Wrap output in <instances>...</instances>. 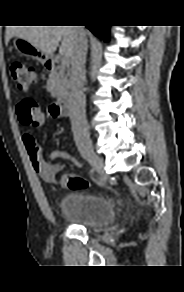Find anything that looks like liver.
<instances>
[{"instance_id": "6515ba94", "label": "liver", "mask_w": 184, "mask_h": 292, "mask_svg": "<svg viewBox=\"0 0 184 292\" xmlns=\"http://www.w3.org/2000/svg\"><path fill=\"white\" fill-rule=\"evenodd\" d=\"M12 37H21L41 52L51 57L59 43L61 55L70 58L78 39L76 26H8L6 42Z\"/></svg>"}]
</instances>
